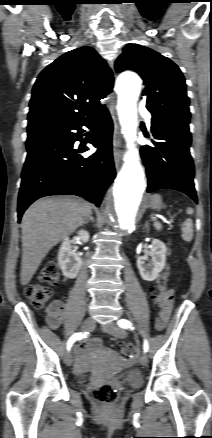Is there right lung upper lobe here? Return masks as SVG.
<instances>
[{
	"instance_id": "obj_1",
	"label": "right lung upper lobe",
	"mask_w": 212,
	"mask_h": 438,
	"mask_svg": "<svg viewBox=\"0 0 212 438\" xmlns=\"http://www.w3.org/2000/svg\"><path fill=\"white\" fill-rule=\"evenodd\" d=\"M113 74L91 47L69 51L38 76L30 100L28 128L55 121L80 122L105 107L100 104L113 88Z\"/></svg>"
}]
</instances>
